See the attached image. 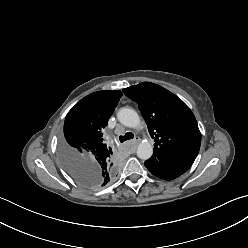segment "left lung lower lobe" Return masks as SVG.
Instances as JSON below:
<instances>
[{
	"mask_svg": "<svg viewBox=\"0 0 248 248\" xmlns=\"http://www.w3.org/2000/svg\"><path fill=\"white\" fill-rule=\"evenodd\" d=\"M193 162L194 159L159 161L151 157L145 162V166L156 177L164 180H172L185 173Z\"/></svg>",
	"mask_w": 248,
	"mask_h": 248,
	"instance_id": "1",
	"label": "left lung lower lobe"
}]
</instances>
